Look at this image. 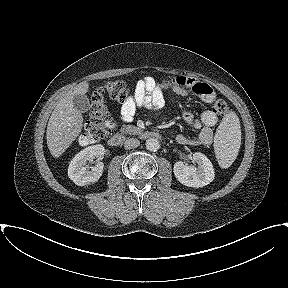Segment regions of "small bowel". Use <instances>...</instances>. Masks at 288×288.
I'll use <instances>...</instances> for the list:
<instances>
[{"label":"small bowel","mask_w":288,"mask_h":288,"mask_svg":"<svg viewBox=\"0 0 288 288\" xmlns=\"http://www.w3.org/2000/svg\"><path fill=\"white\" fill-rule=\"evenodd\" d=\"M173 91L181 96L190 94L198 96L206 103L214 102L216 95L206 83L193 78L178 77L175 79L157 81L152 77L140 79L135 86L134 96L122 104L120 114L124 122H131L139 109H160L165 105V92ZM184 120L199 130L197 137L179 134L176 141L181 145H210L213 141V127L218 122V114L214 110L204 111L199 119L187 109H182Z\"/></svg>","instance_id":"c3829d8e"}]
</instances>
